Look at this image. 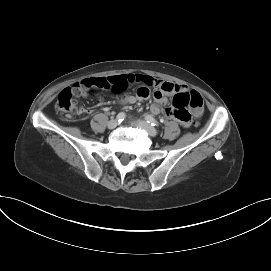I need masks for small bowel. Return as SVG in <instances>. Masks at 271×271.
I'll return each mask as SVG.
<instances>
[{
	"instance_id": "1",
	"label": "small bowel",
	"mask_w": 271,
	"mask_h": 271,
	"mask_svg": "<svg viewBox=\"0 0 271 271\" xmlns=\"http://www.w3.org/2000/svg\"><path fill=\"white\" fill-rule=\"evenodd\" d=\"M91 86L90 93L93 96H99L102 92L110 98H119L122 104H135L143 102L150 98L151 88L154 91V103L151 105V112L153 114L164 113L167 117L176 119L182 126L188 127L191 124V115L186 109H178L174 105L172 107H165L167 96L177 94H187L189 91L183 85H177L171 82L162 81L153 78L149 75L139 73H129L124 75H111L108 77H98L95 79H86L83 83H94ZM135 83H140L141 87L137 90L135 95H124L129 92L130 88ZM82 96L87 95L86 89L82 91ZM123 95V96H122ZM186 115L189 118L184 119L182 116Z\"/></svg>"
}]
</instances>
